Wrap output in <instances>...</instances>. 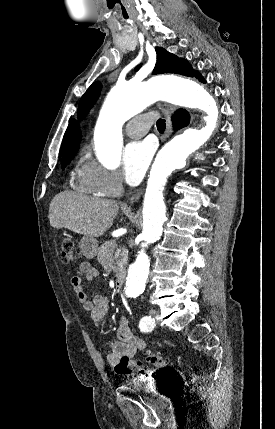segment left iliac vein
<instances>
[{
    "instance_id": "obj_1",
    "label": "left iliac vein",
    "mask_w": 275,
    "mask_h": 429,
    "mask_svg": "<svg viewBox=\"0 0 275 429\" xmlns=\"http://www.w3.org/2000/svg\"><path fill=\"white\" fill-rule=\"evenodd\" d=\"M149 315H150V317H151L153 320H155V318H156V316H157V311H156V310H154V309H151V310L149 311Z\"/></svg>"
}]
</instances>
